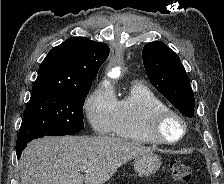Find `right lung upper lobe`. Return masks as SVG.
<instances>
[{
	"mask_svg": "<svg viewBox=\"0 0 224 184\" xmlns=\"http://www.w3.org/2000/svg\"><path fill=\"white\" fill-rule=\"evenodd\" d=\"M108 55L105 43L86 37L68 38L52 48L40 64L32 90L91 87Z\"/></svg>",
	"mask_w": 224,
	"mask_h": 184,
	"instance_id": "right-lung-upper-lobe-1",
	"label": "right lung upper lobe"
}]
</instances>
